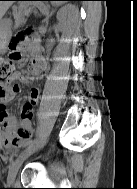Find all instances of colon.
<instances>
[{"instance_id": "colon-1", "label": "colon", "mask_w": 137, "mask_h": 189, "mask_svg": "<svg viewBox=\"0 0 137 189\" xmlns=\"http://www.w3.org/2000/svg\"><path fill=\"white\" fill-rule=\"evenodd\" d=\"M31 38H33V31L24 30L11 39L8 56L0 57V85L10 78L13 71V63L21 59L20 47ZM28 110L31 112L32 108L29 106ZM20 134H22L21 131Z\"/></svg>"}]
</instances>
